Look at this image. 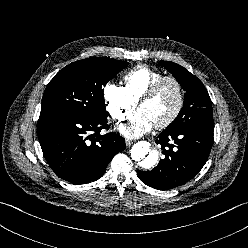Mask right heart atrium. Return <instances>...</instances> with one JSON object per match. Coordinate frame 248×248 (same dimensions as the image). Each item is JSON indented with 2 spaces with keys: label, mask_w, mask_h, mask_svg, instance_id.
Here are the masks:
<instances>
[{
  "label": "right heart atrium",
  "mask_w": 248,
  "mask_h": 248,
  "mask_svg": "<svg viewBox=\"0 0 248 248\" xmlns=\"http://www.w3.org/2000/svg\"><path fill=\"white\" fill-rule=\"evenodd\" d=\"M106 109L116 121H122L133 112L135 103L130 100L123 87L108 83L103 91Z\"/></svg>",
  "instance_id": "right-heart-atrium-1"
}]
</instances>
